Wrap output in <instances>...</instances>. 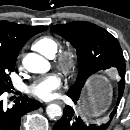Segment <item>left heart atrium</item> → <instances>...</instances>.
Instances as JSON below:
<instances>
[{
	"label": "left heart atrium",
	"instance_id": "39dd6f15",
	"mask_svg": "<svg viewBox=\"0 0 130 130\" xmlns=\"http://www.w3.org/2000/svg\"><path fill=\"white\" fill-rule=\"evenodd\" d=\"M60 86V75L58 73H50L35 81L30 87V93L40 99H51Z\"/></svg>",
	"mask_w": 130,
	"mask_h": 130
}]
</instances>
